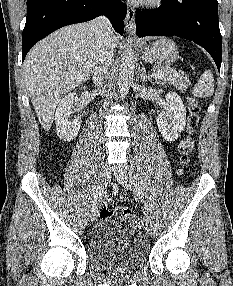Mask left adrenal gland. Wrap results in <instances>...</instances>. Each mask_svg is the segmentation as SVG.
Instances as JSON below:
<instances>
[{
  "mask_svg": "<svg viewBox=\"0 0 233 286\" xmlns=\"http://www.w3.org/2000/svg\"><path fill=\"white\" fill-rule=\"evenodd\" d=\"M151 80V75H146V69L145 67L143 66L142 67V71H141V81L144 82V81H150Z\"/></svg>",
  "mask_w": 233,
  "mask_h": 286,
  "instance_id": "left-adrenal-gland-1",
  "label": "left adrenal gland"
}]
</instances>
